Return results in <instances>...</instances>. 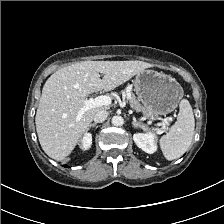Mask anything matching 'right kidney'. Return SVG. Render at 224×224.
Instances as JSON below:
<instances>
[{
    "mask_svg": "<svg viewBox=\"0 0 224 224\" xmlns=\"http://www.w3.org/2000/svg\"><path fill=\"white\" fill-rule=\"evenodd\" d=\"M91 145H92V135L90 133H85L81 140L80 147L83 150H87L91 147Z\"/></svg>",
    "mask_w": 224,
    "mask_h": 224,
    "instance_id": "obj_1",
    "label": "right kidney"
}]
</instances>
